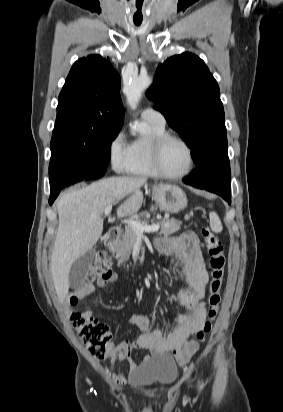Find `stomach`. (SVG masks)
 Listing matches in <instances>:
<instances>
[{"mask_svg":"<svg viewBox=\"0 0 283 412\" xmlns=\"http://www.w3.org/2000/svg\"><path fill=\"white\" fill-rule=\"evenodd\" d=\"M152 192L153 197L161 211H165L167 213H178L187 206L186 194L176 185H155Z\"/></svg>","mask_w":283,"mask_h":412,"instance_id":"obj_1","label":"stomach"}]
</instances>
